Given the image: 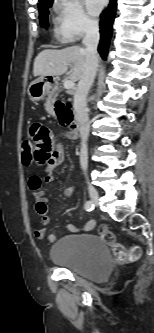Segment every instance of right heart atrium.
I'll return each mask as SVG.
<instances>
[{
	"mask_svg": "<svg viewBox=\"0 0 154 333\" xmlns=\"http://www.w3.org/2000/svg\"><path fill=\"white\" fill-rule=\"evenodd\" d=\"M55 10L56 36L63 43L75 42L96 28L81 0H57Z\"/></svg>",
	"mask_w": 154,
	"mask_h": 333,
	"instance_id": "obj_1",
	"label": "right heart atrium"
}]
</instances>
